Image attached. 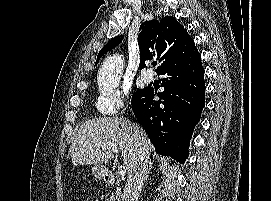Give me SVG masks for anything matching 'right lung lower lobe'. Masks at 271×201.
<instances>
[{"label": "right lung lower lobe", "mask_w": 271, "mask_h": 201, "mask_svg": "<svg viewBox=\"0 0 271 201\" xmlns=\"http://www.w3.org/2000/svg\"><path fill=\"white\" fill-rule=\"evenodd\" d=\"M162 93L146 87L131 100L132 110L146 130L155 151L179 163L188 157L189 141L205 106L201 54L190 37L158 71ZM157 95L160 99L155 101Z\"/></svg>", "instance_id": "right-lung-lower-lobe-1"}]
</instances>
